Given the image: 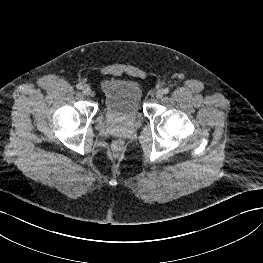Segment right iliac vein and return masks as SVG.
I'll return each mask as SVG.
<instances>
[{
  "instance_id": "right-iliac-vein-1",
  "label": "right iliac vein",
  "mask_w": 263,
  "mask_h": 263,
  "mask_svg": "<svg viewBox=\"0 0 263 263\" xmlns=\"http://www.w3.org/2000/svg\"><path fill=\"white\" fill-rule=\"evenodd\" d=\"M82 92H83L84 95L89 96V95H91L92 91H91L89 86H84L83 89H82Z\"/></svg>"
}]
</instances>
